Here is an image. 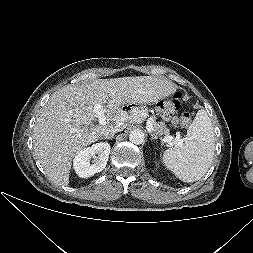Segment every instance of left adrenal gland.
<instances>
[{
	"instance_id": "obj_1",
	"label": "left adrenal gland",
	"mask_w": 253,
	"mask_h": 253,
	"mask_svg": "<svg viewBox=\"0 0 253 253\" xmlns=\"http://www.w3.org/2000/svg\"><path fill=\"white\" fill-rule=\"evenodd\" d=\"M151 134V140H156V139H158V136H156L155 134H153V133H150Z\"/></svg>"
}]
</instances>
